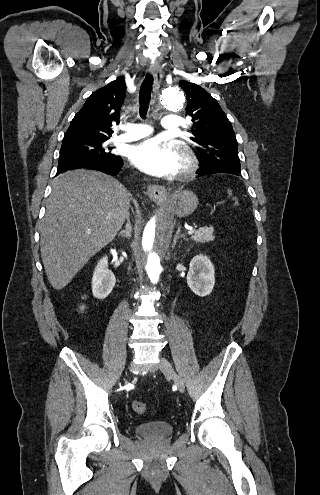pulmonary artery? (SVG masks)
<instances>
[{"mask_svg": "<svg viewBox=\"0 0 320 495\" xmlns=\"http://www.w3.org/2000/svg\"><path fill=\"white\" fill-rule=\"evenodd\" d=\"M162 127L167 131H177L181 125V118L178 116H165L162 119ZM152 133L150 126L142 123H132L126 128V132L117 137L121 142H130L149 136Z\"/></svg>", "mask_w": 320, "mask_h": 495, "instance_id": "1", "label": "pulmonary artery"}]
</instances>
